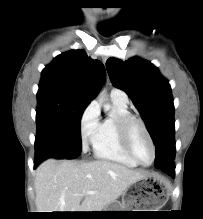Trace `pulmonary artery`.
Masks as SVG:
<instances>
[{"label":"pulmonary artery","instance_id":"obj_1","mask_svg":"<svg viewBox=\"0 0 203 219\" xmlns=\"http://www.w3.org/2000/svg\"><path fill=\"white\" fill-rule=\"evenodd\" d=\"M110 97H111L112 101H116V102L124 104V105L128 104L127 94L120 89L113 88L110 92Z\"/></svg>","mask_w":203,"mask_h":219}]
</instances>
